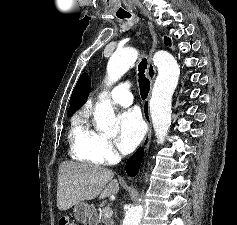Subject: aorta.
<instances>
[{"label":"aorta","mask_w":237,"mask_h":225,"mask_svg":"<svg viewBox=\"0 0 237 225\" xmlns=\"http://www.w3.org/2000/svg\"><path fill=\"white\" fill-rule=\"evenodd\" d=\"M138 51L134 48L117 50L109 59L107 79L116 82L136 62ZM158 76L150 99V115L158 143H163L171 125L172 97L177 87L180 69L175 58L166 51H158L153 57ZM97 128L105 134H116V117L110 100H102L94 110ZM142 206H130L125 212L122 225H140Z\"/></svg>","instance_id":"1"}]
</instances>
